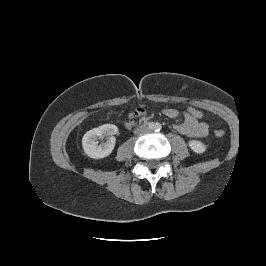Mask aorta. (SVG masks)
<instances>
[{
	"label": "aorta",
	"instance_id": "1",
	"mask_svg": "<svg viewBox=\"0 0 266 266\" xmlns=\"http://www.w3.org/2000/svg\"><path fill=\"white\" fill-rule=\"evenodd\" d=\"M159 127V124H154L153 126H152V129H157Z\"/></svg>",
	"mask_w": 266,
	"mask_h": 266
}]
</instances>
